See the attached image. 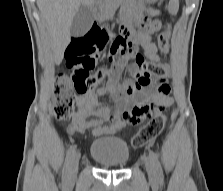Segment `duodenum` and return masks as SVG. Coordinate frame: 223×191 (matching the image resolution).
Here are the masks:
<instances>
[{"label":"duodenum","mask_w":223,"mask_h":191,"mask_svg":"<svg viewBox=\"0 0 223 191\" xmlns=\"http://www.w3.org/2000/svg\"><path fill=\"white\" fill-rule=\"evenodd\" d=\"M94 14L95 15H99L100 14V10L98 8H96L95 11H94Z\"/></svg>","instance_id":"1"}]
</instances>
